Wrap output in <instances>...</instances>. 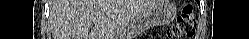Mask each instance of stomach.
<instances>
[{
	"label": "stomach",
	"mask_w": 249,
	"mask_h": 39,
	"mask_svg": "<svg viewBox=\"0 0 249 39\" xmlns=\"http://www.w3.org/2000/svg\"><path fill=\"white\" fill-rule=\"evenodd\" d=\"M174 13L175 6L169 0H157L130 24L123 38L133 39L151 27L166 25L173 19Z\"/></svg>",
	"instance_id": "0dacf381"
}]
</instances>
